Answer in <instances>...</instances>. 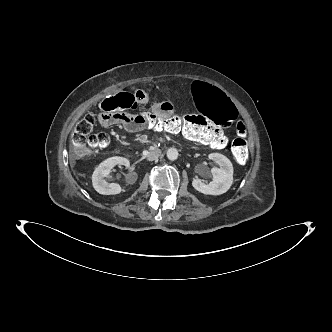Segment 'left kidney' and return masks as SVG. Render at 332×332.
<instances>
[{
	"mask_svg": "<svg viewBox=\"0 0 332 332\" xmlns=\"http://www.w3.org/2000/svg\"><path fill=\"white\" fill-rule=\"evenodd\" d=\"M218 166L210 170L213 180L206 184L201 179L195 178L192 186L199 192L206 195H221L227 192L233 183V165L224 155L211 153L208 155Z\"/></svg>",
	"mask_w": 332,
	"mask_h": 332,
	"instance_id": "obj_1",
	"label": "left kidney"
}]
</instances>
